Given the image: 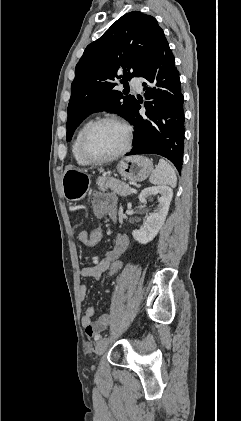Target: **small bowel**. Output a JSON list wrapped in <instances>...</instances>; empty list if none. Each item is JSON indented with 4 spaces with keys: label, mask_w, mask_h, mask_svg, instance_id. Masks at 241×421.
Here are the masks:
<instances>
[{
    "label": "small bowel",
    "mask_w": 241,
    "mask_h": 421,
    "mask_svg": "<svg viewBox=\"0 0 241 421\" xmlns=\"http://www.w3.org/2000/svg\"><path fill=\"white\" fill-rule=\"evenodd\" d=\"M92 205L94 213L98 217H113L116 214L117 202L114 194L96 192L92 196ZM87 236L88 231L86 229H82L79 231L77 237L81 243L85 244ZM128 245V237L124 234H119L114 242L113 247L107 252L106 256L102 260L95 262L93 266L84 267L81 271V275L83 277L99 279L101 275L107 270L109 265L124 254ZM86 294L87 286L85 284H81L79 287L80 298L85 299ZM94 314V308L89 306L86 308L82 317V325L88 337H96L109 322V317L107 315H102L97 321L93 322L92 318Z\"/></svg>",
    "instance_id": "1"
}]
</instances>
